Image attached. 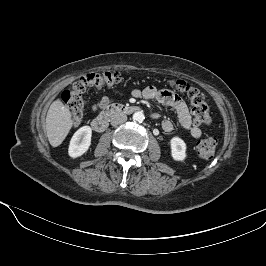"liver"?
<instances>
[{
	"instance_id": "obj_1",
	"label": "liver",
	"mask_w": 266,
	"mask_h": 266,
	"mask_svg": "<svg viewBox=\"0 0 266 266\" xmlns=\"http://www.w3.org/2000/svg\"><path fill=\"white\" fill-rule=\"evenodd\" d=\"M73 126L72 114L60 99L55 100L49 107L46 116V134L53 147L59 146Z\"/></svg>"
}]
</instances>
